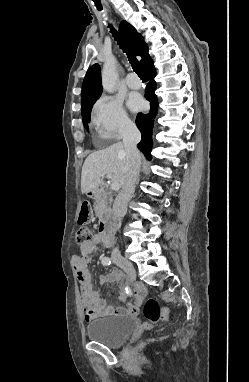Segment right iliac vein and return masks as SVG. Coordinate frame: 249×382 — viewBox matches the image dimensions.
Here are the masks:
<instances>
[{"instance_id":"63e3f726","label":"right iliac vein","mask_w":249,"mask_h":382,"mask_svg":"<svg viewBox=\"0 0 249 382\" xmlns=\"http://www.w3.org/2000/svg\"><path fill=\"white\" fill-rule=\"evenodd\" d=\"M113 261L121 267L131 278H135V268L130 261L122 256H114Z\"/></svg>"}]
</instances>
